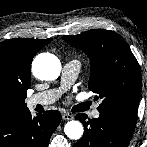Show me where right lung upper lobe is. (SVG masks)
<instances>
[{"mask_svg": "<svg viewBox=\"0 0 147 147\" xmlns=\"http://www.w3.org/2000/svg\"><path fill=\"white\" fill-rule=\"evenodd\" d=\"M51 39H8L0 43V83L13 89L16 100L9 106H0V123L26 110L24 97L30 87V66L34 55ZM26 98V97H25Z\"/></svg>", "mask_w": 147, "mask_h": 147, "instance_id": "obj_1", "label": "right lung upper lobe"}]
</instances>
